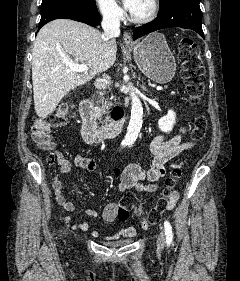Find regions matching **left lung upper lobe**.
Instances as JSON below:
<instances>
[{
    "label": "left lung upper lobe",
    "mask_w": 240,
    "mask_h": 281,
    "mask_svg": "<svg viewBox=\"0 0 240 281\" xmlns=\"http://www.w3.org/2000/svg\"><path fill=\"white\" fill-rule=\"evenodd\" d=\"M167 1H169V0H160V6H162L163 4H165Z\"/></svg>",
    "instance_id": "5c2ea615"
}]
</instances>
